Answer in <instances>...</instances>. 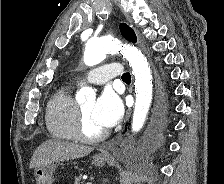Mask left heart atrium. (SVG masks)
<instances>
[{
  "label": "left heart atrium",
  "instance_id": "left-heart-atrium-1",
  "mask_svg": "<svg viewBox=\"0 0 224 184\" xmlns=\"http://www.w3.org/2000/svg\"><path fill=\"white\" fill-rule=\"evenodd\" d=\"M122 105L117 96L111 92H104L94 103L92 116L104 129L115 126L121 119Z\"/></svg>",
  "mask_w": 224,
  "mask_h": 184
}]
</instances>
